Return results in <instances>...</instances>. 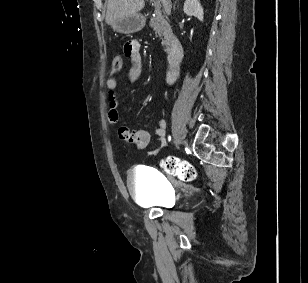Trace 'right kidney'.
Returning <instances> with one entry per match:
<instances>
[{
  "label": "right kidney",
  "instance_id": "1",
  "mask_svg": "<svg viewBox=\"0 0 308 283\" xmlns=\"http://www.w3.org/2000/svg\"><path fill=\"white\" fill-rule=\"evenodd\" d=\"M184 13L188 16H195L203 21V8L199 0H186L183 6Z\"/></svg>",
  "mask_w": 308,
  "mask_h": 283
}]
</instances>
